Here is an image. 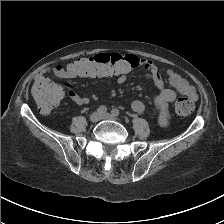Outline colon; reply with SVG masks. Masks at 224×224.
<instances>
[{
  "label": "colon",
  "mask_w": 224,
  "mask_h": 224,
  "mask_svg": "<svg viewBox=\"0 0 224 224\" xmlns=\"http://www.w3.org/2000/svg\"><path fill=\"white\" fill-rule=\"evenodd\" d=\"M69 66L77 77H111L128 74L138 66V59L128 54L100 53L92 57L78 58ZM32 95L39 110L43 113H50L60 103L62 89L50 80H39L32 87ZM194 108V103L189 97H180L175 102V111L180 116L190 115Z\"/></svg>",
  "instance_id": "1"
}]
</instances>
